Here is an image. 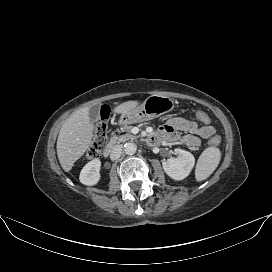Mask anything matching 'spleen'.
<instances>
[{"label": "spleen", "instance_id": "1", "mask_svg": "<svg viewBox=\"0 0 272 272\" xmlns=\"http://www.w3.org/2000/svg\"><path fill=\"white\" fill-rule=\"evenodd\" d=\"M221 158L220 150L216 147L206 148L200 155L195 170L197 181L208 178L217 168Z\"/></svg>", "mask_w": 272, "mask_h": 272}]
</instances>
